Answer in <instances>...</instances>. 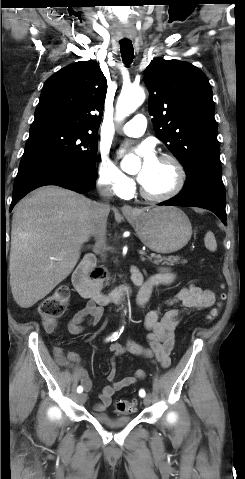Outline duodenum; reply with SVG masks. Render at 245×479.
<instances>
[{
	"label": "duodenum",
	"instance_id": "410a0bca",
	"mask_svg": "<svg viewBox=\"0 0 245 479\" xmlns=\"http://www.w3.org/2000/svg\"><path fill=\"white\" fill-rule=\"evenodd\" d=\"M96 266V257L92 254H87L74 271L72 282L76 291L83 298H89L100 305H106L111 302H118L134 290L141 291L143 288L142 276L136 268H133L132 286L118 287L108 292H103L99 284L102 274Z\"/></svg>",
	"mask_w": 245,
	"mask_h": 479
}]
</instances>
